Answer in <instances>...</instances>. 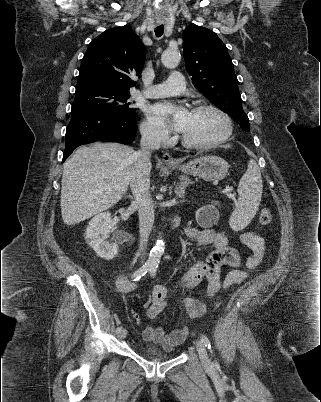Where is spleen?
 Masks as SVG:
<instances>
[{"label":"spleen","instance_id":"1","mask_svg":"<svg viewBox=\"0 0 321 402\" xmlns=\"http://www.w3.org/2000/svg\"><path fill=\"white\" fill-rule=\"evenodd\" d=\"M262 178L255 160L248 162V168L238 185V202L229 219L232 230L244 229L255 216L262 197Z\"/></svg>","mask_w":321,"mask_h":402}]
</instances>
